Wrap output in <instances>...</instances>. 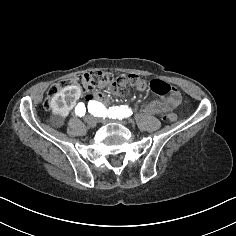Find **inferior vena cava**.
<instances>
[{
    "instance_id": "602c4592",
    "label": "inferior vena cava",
    "mask_w": 236,
    "mask_h": 236,
    "mask_svg": "<svg viewBox=\"0 0 236 236\" xmlns=\"http://www.w3.org/2000/svg\"><path fill=\"white\" fill-rule=\"evenodd\" d=\"M87 121H88L89 123H95V122H96V119L87 118Z\"/></svg>"
}]
</instances>
